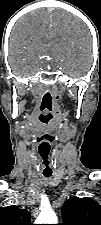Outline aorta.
Masks as SVG:
<instances>
[{
	"label": "aorta",
	"instance_id": "obj_1",
	"mask_svg": "<svg viewBox=\"0 0 101 225\" xmlns=\"http://www.w3.org/2000/svg\"><path fill=\"white\" fill-rule=\"evenodd\" d=\"M36 224H57V216L52 209L45 210L40 213Z\"/></svg>",
	"mask_w": 101,
	"mask_h": 225
}]
</instances>
